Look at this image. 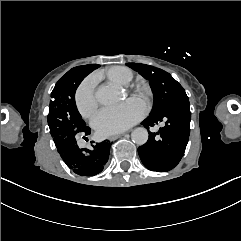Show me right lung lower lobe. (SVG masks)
Masks as SVG:
<instances>
[{
    "label": "right lung lower lobe",
    "mask_w": 241,
    "mask_h": 241,
    "mask_svg": "<svg viewBox=\"0 0 241 241\" xmlns=\"http://www.w3.org/2000/svg\"><path fill=\"white\" fill-rule=\"evenodd\" d=\"M92 71V67L86 66L82 71V80ZM90 132L91 129L88 127L84 134L89 135ZM110 147L111 143L104 141L94 145L91 150L81 149L78 147L76 140H70L61 143L57 148L65 164L76 174L93 176L104 169L109 159Z\"/></svg>",
    "instance_id": "1"
}]
</instances>
